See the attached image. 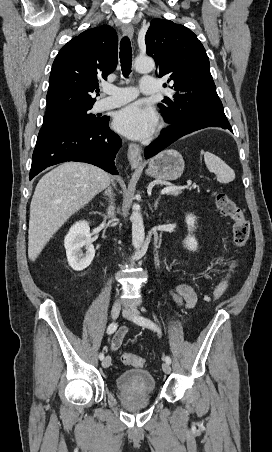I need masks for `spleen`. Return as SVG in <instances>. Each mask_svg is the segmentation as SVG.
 <instances>
[{
    "mask_svg": "<svg viewBox=\"0 0 272 452\" xmlns=\"http://www.w3.org/2000/svg\"><path fill=\"white\" fill-rule=\"evenodd\" d=\"M201 154L204 155V161L208 170L216 174L220 183L227 184L235 179L234 171L218 156L203 150Z\"/></svg>",
    "mask_w": 272,
    "mask_h": 452,
    "instance_id": "obj_1",
    "label": "spleen"
}]
</instances>
